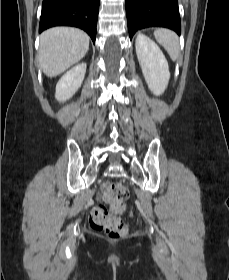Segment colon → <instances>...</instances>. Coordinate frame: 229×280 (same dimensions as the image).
I'll return each mask as SVG.
<instances>
[{
  "instance_id": "1",
  "label": "colon",
  "mask_w": 229,
  "mask_h": 280,
  "mask_svg": "<svg viewBox=\"0 0 229 280\" xmlns=\"http://www.w3.org/2000/svg\"><path fill=\"white\" fill-rule=\"evenodd\" d=\"M103 199L110 204L117 214H111L109 208L104 205L93 207L90 213L92 228L105 230L110 234L121 235L126 232L127 227L118 214L125 211V201L129 196L128 188L121 183H106L101 191Z\"/></svg>"
}]
</instances>
